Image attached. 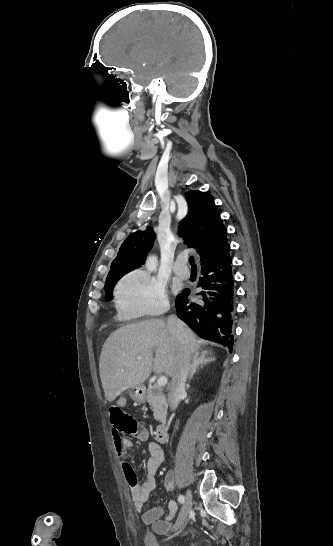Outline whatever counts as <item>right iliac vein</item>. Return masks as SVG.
<instances>
[{"label":"right iliac vein","mask_w":333,"mask_h":546,"mask_svg":"<svg viewBox=\"0 0 333 546\" xmlns=\"http://www.w3.org/2000/svg\"><path fill=\"white\" fill-rule=\"evenodd\" d=\"M191 504H192V494H191V491L188 490L186 492V500H185V503L182 507V510L180 512V515L173 527L174 530H177L179 529L180 527L183 526V524L185 523L186 519H187V516H188V513L191 509Z\"/></svg>","instance_id":"1"}]
</instances>
